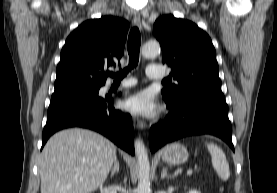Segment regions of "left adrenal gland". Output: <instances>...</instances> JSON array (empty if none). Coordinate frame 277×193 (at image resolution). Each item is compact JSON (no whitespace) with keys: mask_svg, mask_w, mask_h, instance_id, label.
<instances>
[{"mask_svg":"<svg viewBox=\"0 0 277 193\" xmlns=\"http://www.w3.org/2000/svg\"><path fill=\"white\" fill-rule=\"evenodd\" d=\"M170 177H171V175H168V174H167V168L164 167V168H163V171H162V173H161V179L170 178Z\"/></svg>","mask_w":277,"mask_h":193,"instance_id":"a2214340","label":"left adrenal gland"}]
</instances>
